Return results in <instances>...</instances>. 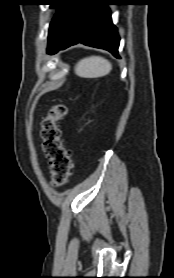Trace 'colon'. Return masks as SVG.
I'll list each match as a JSON object with an SVG mask.
<instances>
[{
	"label": "colon",
	"instance_id": "5ec220e1",
	"mask_svg": "<svg viewBox=\"0 0 174 278\" xmlns=\"http://www.w3.org/2000/svg\"><path fill=\"white\" fill-rule=\"evenodd\" d=\"M67 115L65 104H55L48 110L41 124L43 151L48 159L51 182L55 186L64 185L70 176L71 151L65 146L60 122Z\"/></svg>",
	"mask_w": 174,
	"mask_h": 278
}]
</instances>
